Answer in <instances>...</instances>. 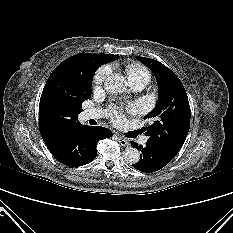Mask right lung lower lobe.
<instances>
[{
    "mask_svg": "<svg viewBox=\"0 0 233 233\" xmlns=\"http://www.w3.org/2000/svg\"><path fill=\"white\" fill-rule=\"evenodd\" d=\"M112 135L111 130L101 126L88 127L78 124L66 142L49 150L62 164L70 167L81 166L96 158L97 142Z\"/></svg>",
    "mask_w": 233,
    "mask_h": 233,
    "instance_id": "1",
    "label": "right lung lower lobe"
}]
</instances>
